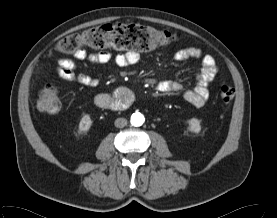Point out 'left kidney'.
<instances>
[{"label": "left kidney", "mask_w": 277, "mask_h": 218, "mask_svg": "<svg viewBox=\"0 0 277 218\" xmlns=\"http://www.w3.org/2000/svg\"><path fill=\"white\" fill-rule=\"evenodd\" d=\"M201 130L200 121L196 118L189 120V131L198 133Z\"/></svg>", "instance_id": "left-kidney-1"}]
</instances>
